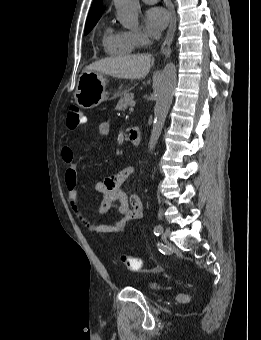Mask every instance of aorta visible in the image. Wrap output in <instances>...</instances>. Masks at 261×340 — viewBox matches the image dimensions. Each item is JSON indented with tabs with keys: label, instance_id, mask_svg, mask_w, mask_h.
<instances>
[{
	"label": "aorta",
	"instance_id": "obj_1",
	"mask_svg": "<svg viewBox=\"0 0 261 340\" xmlns=\"http://www.w3.org/2000/svg\"><path fill=\"white\" fill-rule=\"evenodd\" d=\"M114 3L118 20L127 28L137 27L139 24V0H114ZM176 82V66L173 63H168L163 69L157 86L154 120L148 146L150 152L155 148L164 127L172 103Z\"/></svg>",
	"mask_w": 261,
	"mask_h": 340
}]
</instances>
